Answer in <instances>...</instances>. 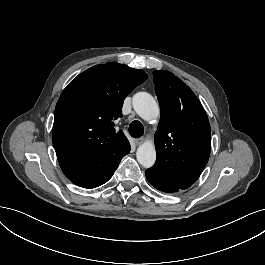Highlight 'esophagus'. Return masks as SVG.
Wrapping results in <instances>:
<instances>
[{"mask_svg": "<svg viewBox=\"0 0 265 265\" xmlns=\"http://www.w3.org/2000/svg\"><path fill=\"white\" fill-rule=\"evenodd\" d=\"M136 145H139L143 142V138L134 139Z\"/></svg>", "mask_w": 265, "mask_h": 265, "instance_id": "obj_1", "label": "esophagus"}]
</instances>
